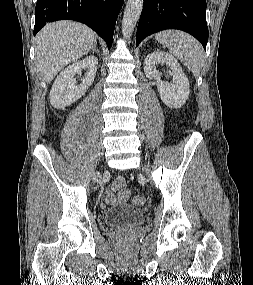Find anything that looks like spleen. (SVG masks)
<instances>
[{
    "instance_id": "spleen-1",
    "label": "spleen",
    "mask_w": 253,
    "mask_h": 285,
    "mask_svg": "<svg viewBox=\"0 0 253 285\" xmlns=\"http://www.w3.org/2000/svg\"><path fill=\"white\" fill-rule=\"evenodd\" d=\"M155 38L187 66L194 76H199L205 62V55L202 45L195 38L176 30L159 32Z\"/></svg>"
}]
</instances>
